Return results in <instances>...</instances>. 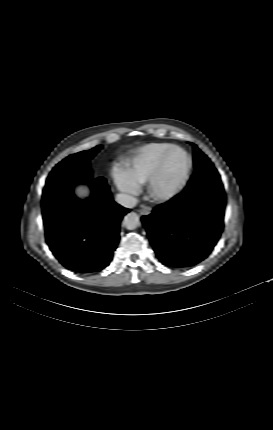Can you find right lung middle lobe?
Listing matches in <instances>:
<instances>
[{"label": "right lung middle lobe", "mask_w": 273, "mask_h": 430, "mask_svg": "<svg viewBox=\"0 0 273 430\" xmlns=\"http://www.w3.org/2000/svg\"><path fill=\"white\" fill-rule=\"evenodd\" d=\"M101 148L99 145L91 150L70 155L57 164L46 181L43 197L50 196L67 186L89 181L91 179L89 161Z\"/></svg>", "instance_id": "1"}]
</instances>
